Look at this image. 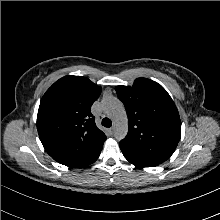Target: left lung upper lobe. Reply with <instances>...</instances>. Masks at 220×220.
<instances>
[{
    "instance_id": "5c2ea615",
    "label": "left lung upper lobe",
    "mask_w": 220,
    "mask_h": 220,
    "mask_svg": "<svg viewBox=\"0 0 220 220\" xmlns=\"http://www.w3.org/2000/svg\"><path fill=\"white\" fill-rule=\"evenodd\" d=\"M115 90L128 116V134L120 148L158 164L169 159L180 140L181 121L167 91L146 78Z\"/></svg>"
}]
</instances>
